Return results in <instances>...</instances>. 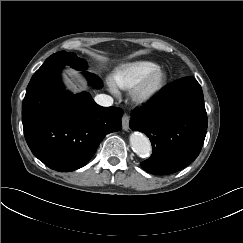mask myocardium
<instances>
[{
  "label": "myocardium",
  "mask_w": 243,
  "mask_h": 243,
  "mask_svg": "<svg viewBox=\"0 0 243 243\" xmlns=\"http://www.w3.org/2000/svg\"><path fill=\"white\" fill-rule=\"evenodd\" d=\"M167 84V74L155 69L147 74L131 91V98L137 104H146L155 99Z\"/></svg>",
  "instance_id": "1"
}]
</instances>
